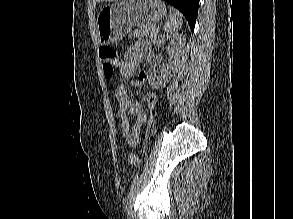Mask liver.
Listing matches in <instances>:
<instances>
[{"mask_svg":"<svg viewBox=\"0 0 293 219\" xmlns=\"http://www.w3.org/2000/svg\"><path fill=\"white\" fill-rule=\"evenodd\" d=\"M112 2V1H116V0H93V3L94 5L97 3V2Z\"/></svg>","mask_w":293,"mask_h":219,"instance_id":"obj_1","label":"liver"}]
</instances>
